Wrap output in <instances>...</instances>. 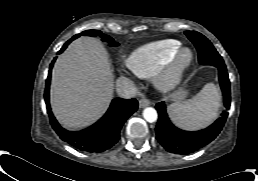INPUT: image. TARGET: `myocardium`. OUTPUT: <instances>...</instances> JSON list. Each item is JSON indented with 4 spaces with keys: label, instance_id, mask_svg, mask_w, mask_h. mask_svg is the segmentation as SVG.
<instances>
[{
    "label": "myocardium",
    "instance_id": "obj_1",
    "mask_svg": "<svg viewBox=\"0 0 258 181\" xmlns=\"http://www.w3.org/2000/svg\"><path fill=\"white\" fill-rule=\"evenodd\" d=\"M193 60L194 56L190 49L179 48L173 58L155 74L156 86L164 92L175 89Z\"/></svg>",
    "mask_w": 258,
    "mask_h": 181
}]
</instances>
